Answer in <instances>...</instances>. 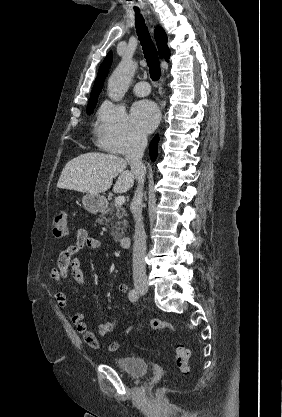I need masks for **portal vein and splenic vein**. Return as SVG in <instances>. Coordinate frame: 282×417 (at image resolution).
I'll list each match as a JSON object with an SVG mask.
<instances>
[{"instance_id":"portal-vein-and-splenic-vein-1","label":"portal vein and splenic vein","mask_w":282,"mask_h":417,"mask_svg":"<svg viewBox=\"0 0 282 417\" xmlns=\"http://www.w3.org/2000/svg\"><path fill=\"white\" fill-rule=\"evenodd\" d=\"M125 202V196H116L115 204H123Z\"/></svg>"}]
</instances>
